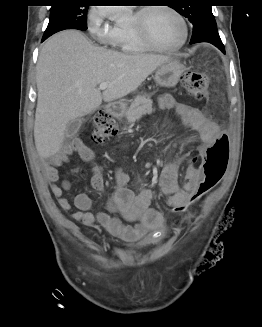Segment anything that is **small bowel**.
<instances>
[{"instance_id": "1", "label": "small bowel", "mask_w": 262, "mask_h": 327, "mask_svg": "<svg viewBox=\"0 0 262 327\" xmlns=\"http://www.w3.org/2000/svg\"><path fill=\"white\" fill-rule=\"evenodd\" d=\"M158 104L161 109L174 110L182 124L197 132L200 137L201 143L197 148V153L187 154L189 162L182 186L179 184V159L166 164L159 175V187L162 193L167 196L169 209L176 206H188L187 196L202 178L201 169L197 166L201 165V159L207 157L209 149L212 148V143H217V136L223 135V132L214 122L205 118L199 110L184 102L177 101L169 94L161 96ZM72 152H77L82 160L89 164L91 170L90 184L95 190L104 189V177L101 166L95 161L93 150L78 138L66 143L46 165L44 173L52 193L58 199L61 208L71 212L75 220L86 226L100 225L126 241H135L146 231L158 230L162 227V215L159 210L152 207L154 191L145 188L139 194H134L126 187L129 176L121 168L115 169L117 187L108 200V212H98L93 215L91 213L92 201L89 195L84 192L78 193L73 203L64 198L63 192L69 189L70 184L66 180L58 184L57 168L68 162ZM112 213H119L124 220L134 224H124L120 218L111 215Z\"/></svg>"}]
</instances>
